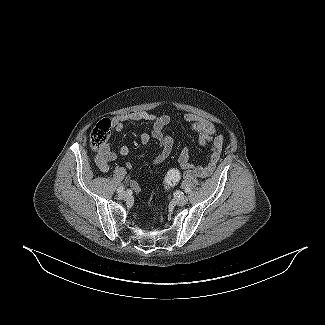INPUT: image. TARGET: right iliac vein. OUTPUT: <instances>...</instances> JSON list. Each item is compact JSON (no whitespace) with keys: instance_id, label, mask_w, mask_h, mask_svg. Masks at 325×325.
<instances>
[{"instance_id":"right-iliac-vein-1","label":"right iliac vein","mask_w":325,"mask_h":325,"mask_svg":"<svg viewBox=\"0 0 325 325\" xmlns=\"http://www.w3.org/2000/svg\"><path fill=\"white\" fill-rule=\"evenodd\" d=\"M129 196H130L129 193L126 192V191H124V192H122V193L120 194V198H121V199H124V200L128 199Z\"/></svg>"}]
</instances>
